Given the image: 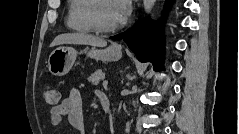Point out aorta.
I'll return each mask as SVG.
<instances>
[{
	"mask_svg": "<svg viewBox=\"0 0 239 134\" xmlns=\"http://www.w3.org/2000/svg\"><path fill=\"white\" fill-rule=\"evenodd\" d=\"M156 0H143V6L144 10L147 14H150L154 5H155Z\"/></svg>",
	"mask_w": 239,
	"mask_h": 134,
	"instance_id": "1",
	"label": "aorta"
}]
</instances>
